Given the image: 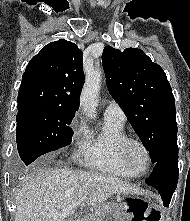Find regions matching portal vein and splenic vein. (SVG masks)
I'll return each mask as SVG.
<instances>
[{
    "mask_svg": "<svg viewBox=\"0 0 190 221\" xmlns=\"http://www.w3.org/2000/svg\"><path fill=\"white\" fill-rule=\"evenodd\" d=\"M87 197L84 196L80 200L73 202L72 204L68 205L61 213L54 214V217L57 218H66L78 205L81 204Z\"/></svg>",
    "mask_w": 190,
    "mask_h": 221,
    "instance_id": "portal-vein-and-splenic-vein-1",
    "label": "portal vein and splenic vein"
}]
</instances>
